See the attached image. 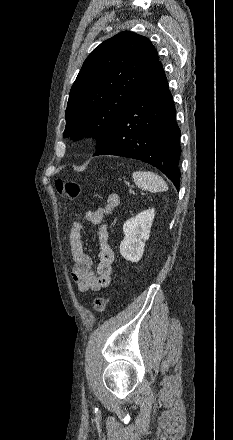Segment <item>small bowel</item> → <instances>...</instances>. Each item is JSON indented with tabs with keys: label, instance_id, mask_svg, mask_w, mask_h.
<instances>
[{
	"label": "small bowel",
	"instance_id": "obj_1",
	"mask_svg": "<svg viewBox=\"0 0 233 440\" xmlns=\"http://www.w3.org/2000/svg\"><path fill=\"white\" fill-rule=\"evenodd\" d=\"M119 203V196L117 194H110L102 206L87 211L73 223L70 233V252L74 263L70 274L78 290L81 292H96L107 287L110 283L115 255L108 243V231L103 221L106 216L117 209ZM83 220L99 227L100 249L95 270L92 269L91 257L84 250L80 233Z\"/></svg>",
	"mask_w": 233,
	"mask_h": 440
}]
</instances>
